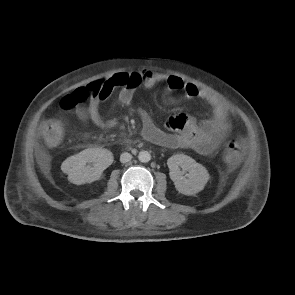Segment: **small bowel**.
<instances>
[{
    "label": "small bowel",
    "mask_w": 295,
    "mask_h": 295,
    "mask_svg": "<svg viewBox=\"0 0 295 295\" xmlns=\"http://www.w3.org/2000/svg\"><path fill=\"white\" fill-rule=\"evenodd\" d=\"M138 77V83L122 89L119 100L124 105L132 103L140 89H149L159 83H165L169 92H182L188 98H196L207 103L212 109L209 119L197 123L196 120L184 113L170 116L165 124V129L157 127L149 118L148 113L140 108L139 114L143 119V137L160 146L168 148H186L202 155L215 152L232 131L230 113L227 105L210 92L199 88L197 85L184 81L181 77L143 70L132 73ZM98 82H91L87 87H92ZM110 93L92 96L86 106H79L76 116L82 123H93L99 127H116L115 119L104 120L100 109Z\"/></svg>",
    "instance_id": "obj_1"
}]
</instances>
